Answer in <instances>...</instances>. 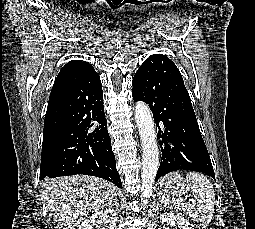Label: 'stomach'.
<instances>
[{
	"mask_svg": "<svg viewBox=\"0 0 255 229\" xmlns=\"http://www.w3.org/2000/svg\"><path fill=\"white\" fill-rule=\"evenodd\" d=\"M191 183L183 178L178 172H173L162 178L159 188L168 197L182 195L190 190Z\"/></svg>",
	"mask_w": 255,
	"mask_h": 229,
	"instance_id": "0dacf381",
	"label": "stomach"
}]
</instances>
